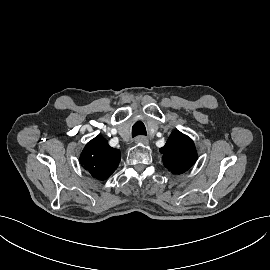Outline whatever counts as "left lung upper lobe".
<instances>
[{"label":"left lung upper lobe","instance_id":"5c2ea615","mask_svg":"<svg viewBox=\"0 0 270 270\" xmlns=\"http://www.w3.org/2000/svg\"><path fill=\"white\" fill-rule=\"evenodd\" d=\"M160 152L164 165L174 174L187 171L197 159L194 142L178 130L171 133Z\"/></svg>","mask_w":270,"mask_h":270}]
</instances>
